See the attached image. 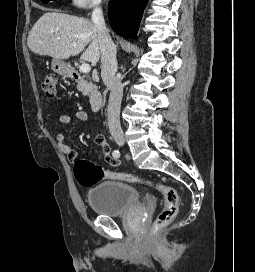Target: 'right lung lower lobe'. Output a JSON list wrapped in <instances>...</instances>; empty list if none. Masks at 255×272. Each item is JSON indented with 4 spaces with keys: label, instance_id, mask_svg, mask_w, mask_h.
<instances>
[{
    "label": "right lung lower lobe",
    "instance_id": "right-lung-lower-lobe-1",
    "mask_svg": "<svg viewBox=\"0 0 255 272\" xmlns=\"http://www.w3.org/2000/svg\"><path fill=\"white\" fill-rule=\"evenodd\" d=\"M148 0H111L108 17L115 32L136 38L143 10Z\"/></svg>",
    "mask_w": 255,
    "mask_h": 272
}]
</instances>
